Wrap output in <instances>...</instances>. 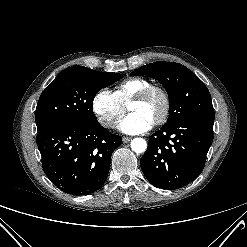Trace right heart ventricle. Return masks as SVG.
I'll list each match as a JSON object with an SVG mask.
<instances>
[{
  "label": "right heart ventricle",
  "mask_w": 247,
  "mask_h": 247,
  "mask_svg": "<svg viewBox=\"0 0 247 247\" xmlns=\"http://www.w3.org/2000/svg\"><path fill=\"white\" fill-rule=\"evenodd\" d=\"M151 85V83L143 78L130 77L120 82L115 90L114 95L123 105L127 104L137 93L144 88Z\"/></svg>",
  "instance_id": "obj_1"
}]
</instances>
